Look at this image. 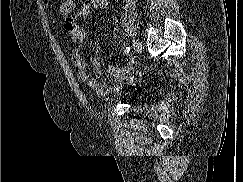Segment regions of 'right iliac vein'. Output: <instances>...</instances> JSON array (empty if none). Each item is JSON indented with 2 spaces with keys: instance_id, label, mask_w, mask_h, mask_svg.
<instances>
[{
  "instance_id": "63e3f726",
  "label": "right iliac vein",
  "mask_w": 243,
  "mask_h": 182,
  "mask_svg": "<svg viewBox=\"0 0 243 182\" xmlns=\"http://www.w3.org/2000/svg\"><path fill=\"white\" fill-rule=\"evenodd\" d=\"M133 49H134V51H135L136 53L141 52V50H142V45H141V43L139 42V40H137V39H134V40H133Z\"/></svg>"
}]
</instances>
